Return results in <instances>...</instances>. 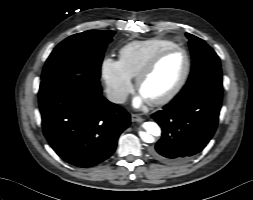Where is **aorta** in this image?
<instances>
[{
    "label": "aorta",
    "mask_w": 253,
    "mask_h": 200,
    "mask_svg": "<svg viewBox=\"0 0 253 200\" xmlns=\"http://www.w3.org/2000/svg\"><path fill=\"white\" fill-rule=\"evenodd\" d=\"M143 127L146 132H141L140 137L146 143H152L153 136H159L161 133L160 127L155 122H145Z\"/></svg>",
    "instance_id": "aorta-1"
}]
</instances>
